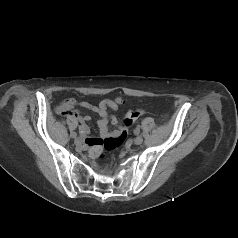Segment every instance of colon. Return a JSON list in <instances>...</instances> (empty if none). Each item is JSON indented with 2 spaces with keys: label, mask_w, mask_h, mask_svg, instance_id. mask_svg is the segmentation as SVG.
Wrapping results in <instances>:
<instances>
[{
  "label": "colon",
  "mask_w": 238,
  "mask_h": 238,
  "mask_svg": "<svg viewBox=\"0 0 238 238\" xmlns=\"http://www.w3.org/2000/svg\"><path fill=\"white\" fill-rule=\"evenodd\" d=\"M141 111H127L125 113L124 123L122 124V129L120 130V135L117 137H109L97 141V143L91 148L92 157H100L103 155L104 151L113 150L118 147L126 138L130 125L140 116Z\"/></svg>",
  "instance_id": "5ec220e1"
}]
</instances>
